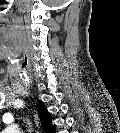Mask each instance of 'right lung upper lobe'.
<instances>
[{
	"label": "right lung upper lobe",
	"mask_w": 120,
	"mask_h": 133,
	"mask_svg": "<svg viewBox=\"0 0 120 133\" xmlns=\"http://www.w3.org/2000/svg\"><path fill=\"white\" fill-rule=\"evenodd\" d=\"M38 115L46 133H53L54 127L52 126L51 114L47 111L46 107L42 102H39Z\"/></svg>",
	"instance_id": "right-lung-upper-lobe-1"
}]
</instances>
